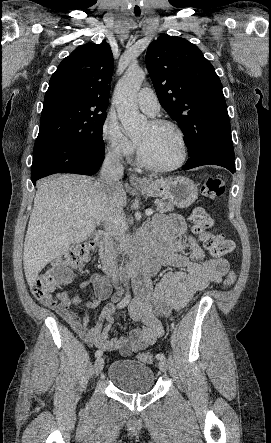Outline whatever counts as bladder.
<instances>
[{
    "label": "bladder",
    "instance_id": "obj_1",
    "mask_svg": "<svg viewBox=\"0 0 271 443\" xmlns=\"http://www.w3.org/2000/svg\"><path fill=\"white\" fill-rule=\"evenodd\" d=\"M109 380L121 391L143 394L151 391L155 376L151 367L134 359H119L108 369Z\"/></svg>",
    "mask_w": 271,
    "mask_h": 443
}]
</instances>
